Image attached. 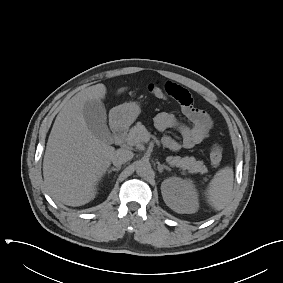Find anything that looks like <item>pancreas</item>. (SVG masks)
<instances>
[{"label":"pancreas","instance_id":"cf45deb5","mask_svg":"<svg viewBox=\"0 0 283 283\" xmlns=\"http://www.w3.org/2000/svg\"><path fill=\"white\" fill-rule=\"evenodd\" d=\"M148 134V131L141 122H138L134 127L130 129L129 134L125 138V143L127 146H135L137 149H144V138ZM167 162L171 166H176L182 168L183 170H188L190 173H207L208 169L204 165L203 161L196 160L194 157H184L180 156H168L166 158Z\"/></svg>","mask_w":283,"mask_h":283}]
</instances>
